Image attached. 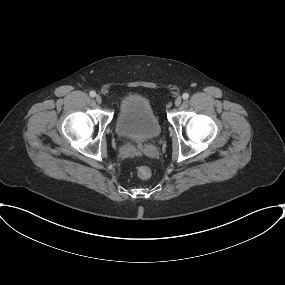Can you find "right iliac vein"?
I'll return each instance as SVG.
<instances>
[{
    "label": "right iliac vein",
    "instance_id": "right-iliac-vein-1",
    "mask_svg": "<svg viewBox=\"0 0 285 285\" xmlns=\"http://www.w3.org/2000/svg\"><path fill=\"white\" fill-rule=\"evenodd\" d=\"M95 99L98 104L102 103V98L99 95H97Z\"/></svg>",
    "mask_w": 285,
    "mask_h": 285
}]
</instances>
